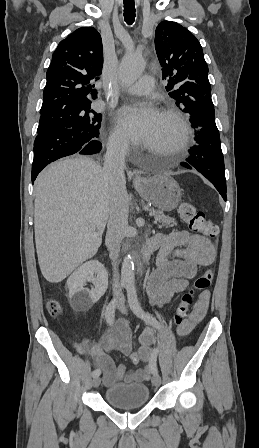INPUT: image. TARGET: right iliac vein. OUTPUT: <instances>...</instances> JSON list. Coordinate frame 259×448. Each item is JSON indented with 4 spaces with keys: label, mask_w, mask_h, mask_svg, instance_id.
Masks as SVG:
<instances>
[{
    "label": "right iliac vein",
    "mask_w": 259,
    "mask_h": 448,
    "mask_svg": "<svg viewBox=\"0 0 259 448\" xmlns=\"http://www.w3.org/2000/svg\"><path fill=\"white\" fill-rule=\"evenodd\" d=\"M100 382H101V380H100L99 376L94 377L93 381H92L93 387H95V388L98 387L100 385Z\"/></svg>",
    "instance_id": "1"
}]
</instances>
